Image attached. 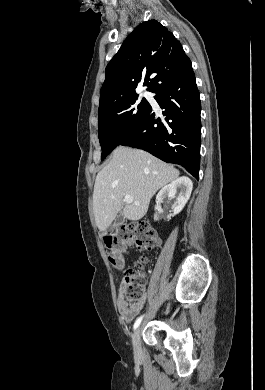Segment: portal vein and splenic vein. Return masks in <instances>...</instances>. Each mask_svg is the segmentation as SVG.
Segmentation results:
<instances>
[{"label": "portal vein and splenic vein", "mask_w": 265, "mask_h": 390, "mask_svg": "<svg viewBox=\"0 0 265 390\" xmlns=\"http://www.w3.org/2000/svg\"><path fill=\"white\" fill-rule=\"evenodd\" d=\"M124 202L127 204L133 203V198L129 195L124 196ZM135 205H139V202H134Z\"/></svg>", "instance_id": "1"}]
</instances>
